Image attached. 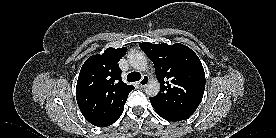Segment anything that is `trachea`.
<instances>
[{"instance_id": "obj_1", "label": "trachea", "mask_w": 276, "mask_h": 138, "mask_svg": "<svg viewBox=\"0 0 276 138\" xmlns=\"http://www.w3.org/2000/svg\"><path fill=\"white\" fill-rule=\"evenodd\" d=\"M140 79H141V74L138 72H131L127 76V80L129 82L139 81Z\"/></svg>"}]
</instances>
